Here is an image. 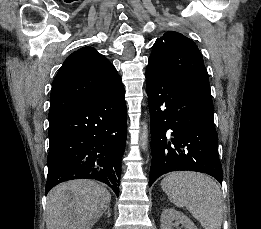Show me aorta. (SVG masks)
Listing matches in <instances>:
<instances>
[{
  "label": "aorta",
  "mask_w": 261,
  "mask_h": 229,
  "mask_svg": "<svg viewBox=\"0 0 261 229\" xmlns=\"http://www.w3.org/2000/svg\"><path fill=\"white\" fill-rule=\"evenodd\" d=\"M148 145V125L147 123H142V131L140 137V147L145 151Z\"/></svg>",
  "instance_id": "762f6f07"
}]
</instances>
